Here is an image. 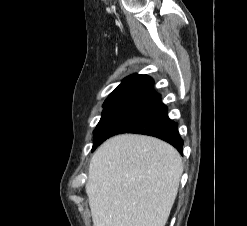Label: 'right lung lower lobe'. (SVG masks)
I'll return each mask as SVG.
<instances>
[{
    "instance_id": "obj_1",
    "label": "right lung lower lobe",
    "mask_w": 247,
    "mask_h": 226,
    "mask_svg": "<svg viewBox=\"0 0 247 226\" xmlns=\"http://www.w3.org/2000/svg\"><path fill=\"white\" fill-rule=\"evenodd\" d=\"M178 125L153 89V79L134 74L111 93L94 131L92 151L107 138L119 133H138L160 138L182 153Z\"/></svg>"
}]
</instances>
